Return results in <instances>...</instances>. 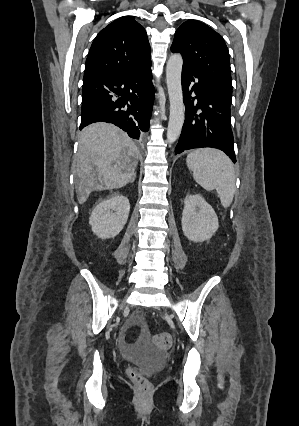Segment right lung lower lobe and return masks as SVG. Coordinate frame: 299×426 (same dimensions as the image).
<instances>
[{"instance_id": "obj_1", "label": "right lung lower lobe", "mask_w": 299, "mask_h": 426, "mask_svg": "<svg viewBox=\"0 0 299 426\" xmlns=\"http://www.w3.org/2000/svg\"><path fill=\"white\" fill-rule=\"evenodd\" d=\"M154 100L151 64L101 79L83 80L80 129L113 123L134 139L149 130Z\"/></svg>"}]
</instances>
